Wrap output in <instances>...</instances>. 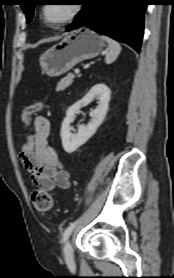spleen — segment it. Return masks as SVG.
I'll use <instances>...</instances> for the list:
<instances>
[{"label": "spleen", "mask_w": 174, "mask_h": 278, "mask_svg": "<svg viewBox=\"0 0 174 278\" xmlns=\"http://www.w3.org/2000/svg\"><path fill=\"white\" fill-rule=\"evenodd\" d=\"M101 39L106 41L109 46V52L106 54L105 62L107 64H110V63L114 62L116 60V58L118 57V55L120 54L121 46L117 41H115L107 36L102 35Z\"/></svg>", "instance_id": "3e777b00"}]
</instances>
